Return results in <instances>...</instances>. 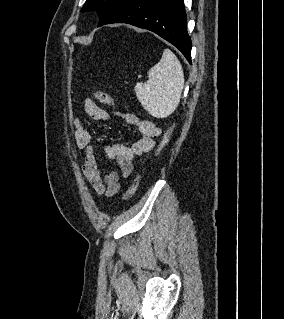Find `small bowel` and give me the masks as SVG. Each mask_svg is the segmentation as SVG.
I'll use <instances>...</instances> for the list:
<instances>
[{
    "instance_id": "c3829d8e",
    "label": "small bowel",
    "mask_w": 284,
    "mask_h": 319,
    "mask_svg": "<svg viewBox=\"0 0 284 319\" xmlns=\"http://www.w3.org/2000/svg\"><path fill=\"white\" fill-rule=\"evenodd\" d=\"M83 108L89 117L98 121H107L112 116H120L127 124L138 127L141 134V137L130 146L122 143L104 146L106 156L116 162L117 169L103 173L97 161L91 133L82 120L74 121L75 143L85 154L83 174L97 195L111 197L120 190V177L127 178L132 174L134 160L154 148L161 129L154 122L141 120L132 113L109 112L90 99L84 101Z\"/></svg>"
}]
</instances>
